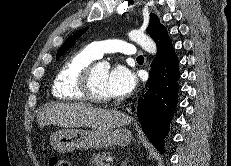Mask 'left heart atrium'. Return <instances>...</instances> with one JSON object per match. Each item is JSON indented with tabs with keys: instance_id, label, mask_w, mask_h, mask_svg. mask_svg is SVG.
I'll use <instances>...</instances> for the list:
<instances>
[{
	"instance_id": "1",
	"label": "left heart atrium",
	"mask_w": 231,
	"mask_h": 166,
	"mask_svg": "<svg viewBox=\"0 0 231 166\" xmlns=\"http://www.w3.org/2000/svg\"><path fill=\"white\" fill-rule=\"evenodd\" d=\"M135 74L123 65H117L108 73L106 88L112 97L128 96L136 87Z\"/></svg>"
}]
</instances>
